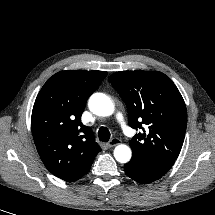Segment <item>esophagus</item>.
Returning <instances> with one entry per match:
<instances>
[{"label":"esophagus","mask_w":215,"mask_h":215,"mask_svg":"<svg viewBox=\"0 0 215 215\" xmlns=\"http://www.w3.org/2000/svg\"><path fill=\"white\" fill-rule=\"evenodd\" d=\"M121 143V140L120 139H118V138H112L108 143H107V147L108 148H111V147H114V146H116V145H118V144H120Z\"/></svg>","instance_id":"34e87169"}]
</instances>
